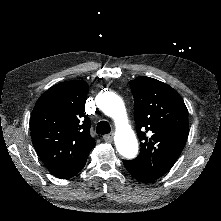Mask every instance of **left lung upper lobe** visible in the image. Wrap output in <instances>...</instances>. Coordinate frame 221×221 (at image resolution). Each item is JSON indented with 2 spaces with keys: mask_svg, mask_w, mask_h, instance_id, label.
Masks as SVG:
<instances>
[{
  "mask_svg": "<svg viewBox=\"0 0 221 221\" xmlns=\"http://www.w3.org/2000/svg\"><path fill=\"white\" fill-rule=\"evenodd\" d=\"M141 152L132 160L161 177L176 162L186 143L188 110L169 85L145 76L130 81Z\"/></svg>",
  "mask_w": 221,
  "mask_h": 221,
  "instance_id": "left-lung-upper-lobe-1",
  "label": "left lung upper lobe"
}]
</instances>
